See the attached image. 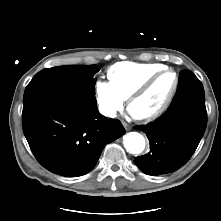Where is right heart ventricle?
<instances>
[{"instance_id":"1","label":"right heart ventricle","mask_w":221,"mask_h":221,"mask_svg":"<svg viewBox=\"0 0 221 221\" xmlns=\"http://www.w3.org/2000/svg\"><path fill=\"white\" fill-rule=\"evenodd\" d=\"M165 67V65L159 63L139 64L121 62L108 69L107 77L118 94L126 100L150 76Z\"/></svg>"}]
</instances>
